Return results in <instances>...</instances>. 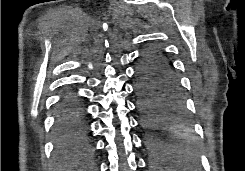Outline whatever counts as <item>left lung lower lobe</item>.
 Segmentation results:
<instances>
[{
	"label": "left lung lower lobe",
	"mask_w": 245,
	"mask_h": 171,
	"mask_svg": "<svg viewBox=\"0 0 245 171\" xmlns=\"http://www.w3.org/2000/svg\"><path fill=\"white\" fill-rule=\"evenodd\" d=\"M154 48L152 61H137L138 91L143 123L149 132L145 138L153 167H182L187 154L180 148L153 133V129L165 128L172 132L185 129L186 106L179 75L169 57ZM168 156V157H162Z\"/></svg>",
	"instance_id": "obj_1"
}]
</instances>
